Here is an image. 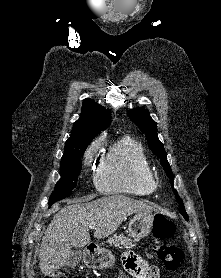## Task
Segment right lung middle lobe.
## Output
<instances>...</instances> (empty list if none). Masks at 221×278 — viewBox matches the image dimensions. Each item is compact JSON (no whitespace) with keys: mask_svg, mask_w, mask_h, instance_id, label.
Masks as SVG:
<instances>
[{"mask_svg":"<svg viewBox=\"0 0 221 278\" xmlns=\"http://www.w3.org/2000/svg\"><path fill=\"white\" fill-rule=\"evenodd\" d=\"M87 146L88 144H84L64 152L60 164L61 179L56 184L55 190L50 196L49 206L69 196L76 187L82 168L80 158L83 156Z\"/></svg>","mask_w":221,"mask_h":278,"instance_id":"dd1d6c3e","label":"right lung middle lobe"}]
</instances>
